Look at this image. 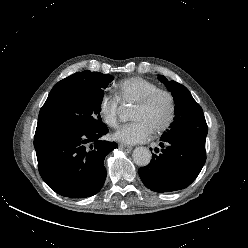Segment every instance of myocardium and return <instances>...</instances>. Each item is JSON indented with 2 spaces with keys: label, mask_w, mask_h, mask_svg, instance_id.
<instances>
[{
  "label": "myocardium",
  "mask_w": 248,
  "mask_h": 248,
  "mask_svg": "<svg viewBox=\"0 0 248 248\" xmlns=\"http://www.w3.org/2000/svg\"><path fill=\"white\" fill-rule=\"evenodd\" d=\"M160 95H164L167 97L169 101V113H168L166 120L163 122V124H161L159 127L153 130L155 134H159V133L166 131L172 125L175 119L176 101H175L174 95L169 90L158 88L150 92L149 94H147L137 103H135L136 107L146 108Z\"/></svg>",
  "instance_id": "f54148a6"
}]
</instances>
